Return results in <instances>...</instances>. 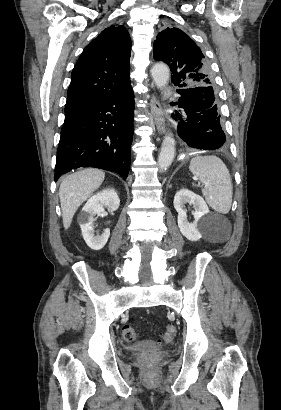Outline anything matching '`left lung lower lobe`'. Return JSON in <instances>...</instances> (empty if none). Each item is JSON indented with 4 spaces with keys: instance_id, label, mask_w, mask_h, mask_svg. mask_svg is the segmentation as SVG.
I'll use <instances>...</instances> for the list:
<instances>
[{
    "instance_id": "1",
    "label": "left lung lower lobe",
    "mask_w": 281,
    "mask_h": 410,
    "mask_svg": "<svg viewBox=\"0 0 281 410\" xmlns=\"http://www.w3.org/2000/svg\"><path fill=\"white\" fill-rule=\"evenodd\" d=\"M177 102L183 108L184 119L177 112L173 117L178 123V135L190 147L215 150L225 144L226 137L220 125V115L212 86L178 89Z\"/></svg>"
}]
</instances>
